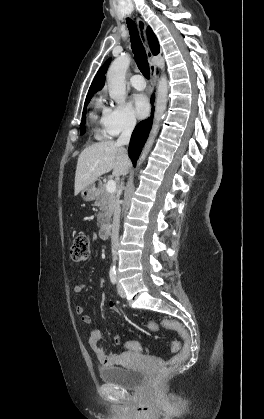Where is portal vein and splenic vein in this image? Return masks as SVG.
Wrapping results in <instances>:
<instances>
[{
	"mask_svg": "<svg viewBox=\"0 0 264 419\" xmlns=\"http://www.w3.org/2000/svg\"><path fill=\"white\" fill-rule=\"evenodd\" d=\"M106 190L109 193H114L116 191V182L114 180H109L106 185Z\"/></svg>",
	"mask_w": 264,
	"mask_h": 419,
	"instance_id": "18ae733b",
	"label": "portal vein and splenic vein"
}]
</instances>
